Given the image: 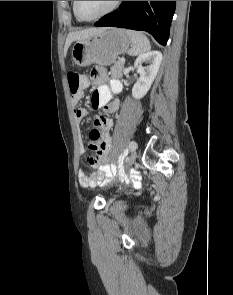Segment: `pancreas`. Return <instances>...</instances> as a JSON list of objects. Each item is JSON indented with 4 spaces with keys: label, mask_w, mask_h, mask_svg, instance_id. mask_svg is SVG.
<instances>
[{
    "label": "pancreas",
    "mask_w": 233,
    "mask_h": 295,
    "mask_svg": "<svg viewBox=\"0 0 233 295\" xmlns=\"http://www.w3.org/2000/svg\"><path fill=\"white\" fill-rule=\"evenodd\" d=\"M124 68V62L118 60L114 62V65L111 67V77L112 78H122V71Z\"/></svg>",
    "instance_id": "pancreas-1"
}]
</instances>
